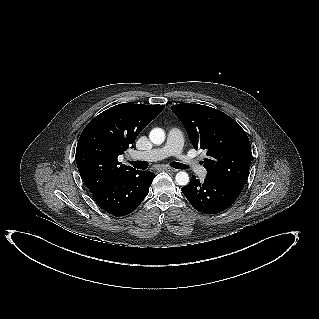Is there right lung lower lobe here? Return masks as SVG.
Returning <instances> with one entry per match:
<instances>
[{
	"label": "right lung lower lobe",
	"mask_w": 319,
	"mask_h": 319,
	"mask_svg": "<svg viewBox=\"0 0 319 319\" xmlns=\"http://www.w3.org/2000/svg\"><path fill=\"white\" fill-rule=\"evenodd\" d=\"M154 173L133 170L95 191L96 202L113 216L121 217L133 212L147 196Z\"/></svg>",
	"instance_id": "1"
}]
</instances>
